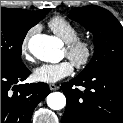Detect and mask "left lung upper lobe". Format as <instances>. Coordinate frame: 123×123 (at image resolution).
Here are the masks:
<instances>
[{"label": "left lung upper lobe", "instance_id": "obj_1", "mask_svg": "<svg viewBox=\"0 0 123 123\" xmlns=\"http://www.w3.org/2000/svg\"><path fill=\"white\" fill-rule=\"evenodd\" d=\"M68 17L78 21L94 35L95 52L81 76L109 65H123V27L112 13L90 5L72 9Z\"/></svg>", "mask_w": 123, "mask_h": 123}]
</instances>
